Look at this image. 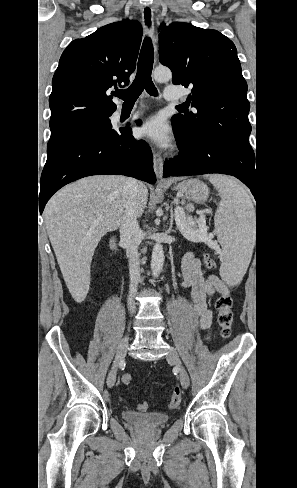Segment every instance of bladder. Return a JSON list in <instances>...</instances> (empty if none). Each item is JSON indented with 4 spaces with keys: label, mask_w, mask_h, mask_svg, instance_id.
Segmentation results:
<instances>
[{
    "label": "bladder",
    "mask_w": 297,
    "mask_h": 488,
    "mask_svg": "<svg viewBox=\"0 0 297 488\" xmlns=\"http://www.w3.org/2000/svg\"><path fill=\"white\" fill-rule=\"evenodd\" d=\"M123 419L129 424L141 429H156L169 421V415L162 412L137 413L124 411Z\"/></svg>",
    "instance_id": "obj_1"
}]
</instances>
